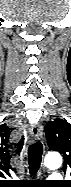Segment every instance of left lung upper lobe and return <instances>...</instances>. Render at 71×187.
Listing matches in <instances>:
<instances>
[{"instance_id": "1", "label": "left lung upper lobe", "mask_w": 71, "mask_h": 187, "mask_svg": "<svg viewBox=\"0 0 71 187\" xmlns=\"http://www.w3.org/2000/svg\"><path fill=\"white\" fill-rule=\"evenodd\" d=\"M48 146L63 155V171L71 169V124L64 119H55L45 126Z\"/></svg>"}]
</instances>
